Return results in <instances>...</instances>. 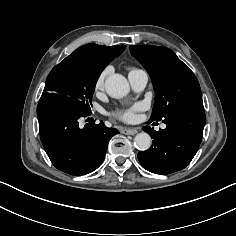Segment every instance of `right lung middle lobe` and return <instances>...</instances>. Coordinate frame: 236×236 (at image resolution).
<instances>
[{
    "label": "right lung middle lobe",
    "mask_w": 236,
    "mask_h": 236,
    "mask_svg": "<svg viewBox=\"0 0 236 236\" xmlns=\"http://www.w3.org/2000/svg\"><path fill=\"white\" fill-rule=\"evenodd\" d=\"M107 64L68 56L48 75L43 94L64 95L81 111L89 112L97 78Z\"/></svg>",
    "instance_id": "right-lung-middle-lobe-1"
}]
</instances>
